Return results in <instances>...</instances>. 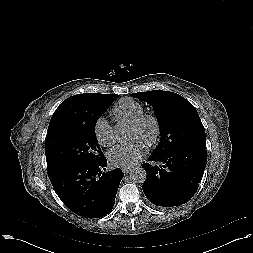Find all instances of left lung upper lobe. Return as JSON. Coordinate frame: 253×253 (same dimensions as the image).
I'll return each mask as SVG.
<instances>
[{"label": "left lung upper lobe", "instance_id": "left-lung-upper-lobe-1", "mask_svg": "<svg viewBox=\"0 0 253 253\" xmlns=\"http://www.w3.org/2000/svg\"><path fill=\"white\" fill-rule=\"evenodd\" d=\"M154 108L161 126V140L155 153L162 154L182 145L206 148L205 130L195 107L184 97L169 91L131 94Z\"/></svg>", "mask_w": 253, "mask_h": 253}]
</instances>
